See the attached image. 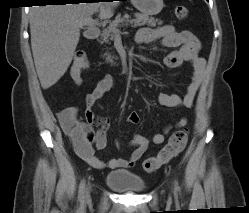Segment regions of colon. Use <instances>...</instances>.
Here are the masks:
<instances>
[{
    "label": "colon",
    "instance_id": "5ec220e1",
    "mask_svg": "<svg viewBox=\"0 0 249 213\" xmlns=\"http://www.w3.org/2000/svg\"><path fill=\"white\" fill-rule=\"evenodd\" d=\"M175 14L179 19H186L188 17V9L183 5L175 7ZM88 68V62L83 53L77 52L74 55L70 72L76 83L80 82L81 75ZM188 140V130L181 129L172 134L167 144L162 148L159 154L147 159L143 163V169L146 172H153L160 168L163 164L169 162L173 157L178 155L186 146Z\"/></svg>",
    "mask_w": 249,
    "mask_h": 213
}]
</instances>
